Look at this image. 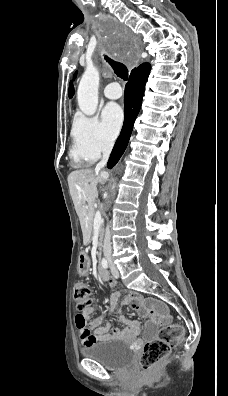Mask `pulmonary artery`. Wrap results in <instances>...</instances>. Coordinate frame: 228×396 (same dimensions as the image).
Here are the masks:
<instances>
[{"label":"pulmonary artery","mask_w":228,"mask_h":396,"mask_svg":"<svg viewBox=\"0 0 228 396\" xmlns=\"http://www.w3.org/2000/svg\"><path fill=\"white\" fill-rule=\"evenodd\" d=\"M103 93L108 99H118L122 96V89L118 83L112 82L105 86Z\"/></svg>","instance_id":"pulmonary-artery-1"}]
</instances>
